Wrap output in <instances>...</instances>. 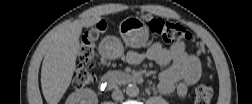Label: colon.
Instances as JSON below:
<instances>
[{
  "label": "colon",
  "instance_id": "obj_1",
  "mask_svg": "<svg viewBox=\"0 0 252 104\" xmlns=\"http://www.w3.org/2000/svg\"><path fill=\"white\" fill-rule=\"evenodd\" d=\"M150 32L166 43H175L182 40H190L192 34L176 21L161 18H152L148 22ZM106 32L104 22L97 23L87 28L81 36L80 61L77 63L72 84L81 89L95 81L93 72L94 47L96 41ZM213 97L210 86L202 84L195 89L194 98L198 104H208Z\"/></svg>",
  "mask_w": 252,
  "mask_h": 104
}]
</instances>
